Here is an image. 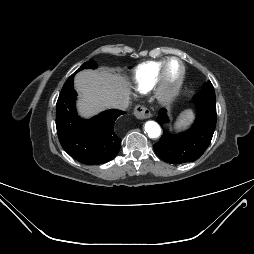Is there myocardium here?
Listing matches in <instances>:
<instances>
[{"mask_svg": "<svg viewBox=\"0 0 254 254\" xmlns=\"http://www.w3.org/2000/svg\"><path fill=\"white\" fill-rule=\"evenodd\" d=\"M174 61L179 63L180 73L175 81L170 82L167 79V68L170 65V63ZM185 75L186 68L181 59L177 57H170L166 59L158 72L157 81L154 86L155 96L158 99V101L162 103H169L173 101L181 91V88L185 80Z\"/></svg>", "mask_w": 254, "mask_h": 254, "instance_id": "f54148a6", "label": "myocardium"}]
</instances>
